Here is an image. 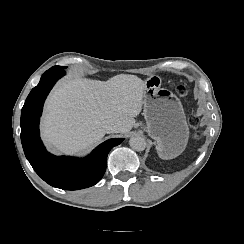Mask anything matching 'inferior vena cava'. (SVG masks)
Returning a JSON list of instances; mask_svg holds the SVG:
<instances>
[{
	"label": "inferior vena cava",
	"mask_w": 244,
	"mask_h": 244,
	"mask_svg": "<svg viewBox=\"0 0 244 244\" xmlns=\"http://www.w3.org/2000/svg\"><path fill=\"white\" fill-rule=\"evenodd\" d=\"M103 127H104L106 132L113 133V132H117L118 131V127L119 126L115 122H108V123H104Z\"/></svg>",
	"instance_id": "obj_1"
}]
</instances>
